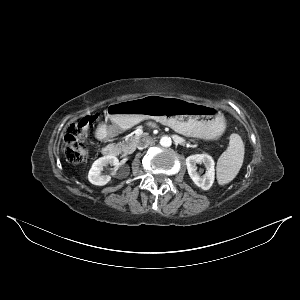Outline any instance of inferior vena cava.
<instances>
[{
  "label": "inferior vena cava",
  "instance_id": "602c4592",
  "mask_svg": "<svg viewBox=\"0 0 300 300\" xmlns=\"http://www.w3.org/2000/svg\"><path fill=\"white\" fill-rule=\"evenodd\" d=\"M153 143H154L153 138L147 136V137H144L141 140H139L137 148L140 150H143V149L147 148L148 146L153 145Z\"/></svg>",
  "mask_w": 300,
  "mask_h": 300
}]
</instances>
